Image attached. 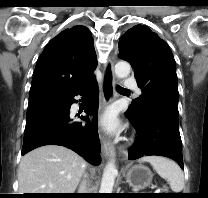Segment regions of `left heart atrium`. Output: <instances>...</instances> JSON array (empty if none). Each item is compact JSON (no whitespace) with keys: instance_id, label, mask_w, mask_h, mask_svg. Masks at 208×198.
Instances as JSON below:
<instances>
[{"instance_id":"39dd6f15","label":"left heart atrium","mask_w":208,"mask_h":198,"mask_svg":"<svg viewBox=\"0 0 208 198\" xmlns=\"http://www.w3.org/2000/svg\"><path fill=\"white\" fill-rule=\"evenodd\" d=\"M101 124L108 132H115L118 129V119L113 110H108L101 118Z\"/></svg>"}]
</instances>
